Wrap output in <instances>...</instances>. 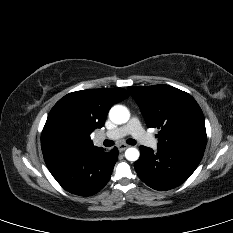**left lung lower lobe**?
Returning <instances> with one entry per match:
<instances>
[{"label":"left lung lower lobe","mask_w":233,"mask_h":233,"mask_svg":"<svg viewBox=\"0 0 233 233\" xmlns=\"http://www.w3.org/2000/svg\"><path fill=\"white\" fill-rule=\"evenodd\" d=\"M141 156L134 163L140 179L155 190H169L186 181L199 165L204 151L158 147L157 152L140 146Z\"/></svg>","instance_id":"obj_1"}]
</instances>
